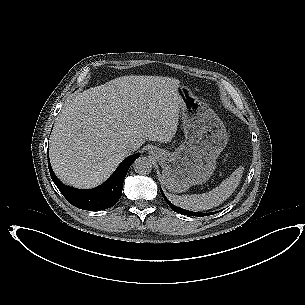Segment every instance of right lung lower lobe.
Masks as SVG:
<instances>
[{
  "label": "right lung lower lobe",
  "mask_w": 305,
  "mask_h": 305,
  "mask_svg": "<svg viewBox=\"0 0 305 305\" xmlns=\"http://www.w3.org/2000/svg\"><path fill=\"white\" fill-rule=\"evenodd\" d=\"M140 156L139 153L124 159L111 177L102 185L87 190L75 189L64 185L54 174L48 161L52 180L63 194V196L75 207L99 211L114 206L120 199L123 188V181L131 164ZM49 160V159H48Z\"/></svg>",
  "instance_id": "right-lung-lower-lobe-1"
}]
</instances>
